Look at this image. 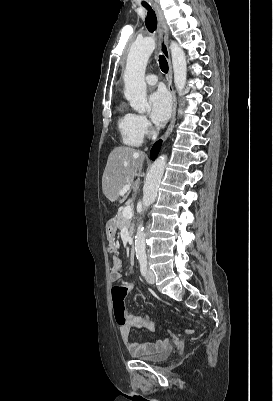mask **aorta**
<instances>
[{
	"mask_svg": "<svg viewBox=\"0 0 273 401\" xmlns=\"http://www.w3.org/2000/svg\"><path fill=\"white\" fill-rule=\"evenodd\" d=\"M155 49V39L146 37L136 41L128 54L126 68L124 72L125 97L130 102L133 110L139 113H145L148 108L146 97L145 70L148 59ZM172 65L174 72V83L179 93L182 92L186 84V58L184 51L174 41L170 44ZM167 163V156H159L152 164L147 173L143 187V207L148 208L157 196L158 188ZM145 233L142 223L137 227L135 236V252L139 260L146 258Z\"/></svg>",
	"mask_w": 273,
	"mask_h": 401,
	"instance_id": "obj_1",
	"label": "aorta"
}]
</instances>
